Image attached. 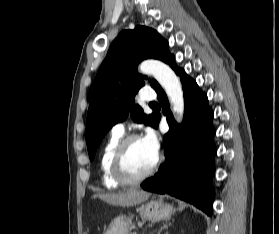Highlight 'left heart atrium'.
Wrapping results in <instances>:
<instances>
[{"instance_id":"obj_1","label":"left heart atrium","mask_w":279,"mask_h":234,"mask_svg":"<svg viewBox=\"0 0 279 234\" xmlns=\"http://www.w3.org/2000/svg\"><path fill=\"white\" fill-rule=\"evenodd\" d=\"M142 140L155 154H158L159 141L156 133L151 128L146 129L145 135L143 136Z\"/></svg>"}]
</instances>
